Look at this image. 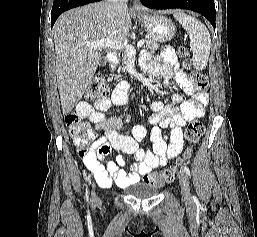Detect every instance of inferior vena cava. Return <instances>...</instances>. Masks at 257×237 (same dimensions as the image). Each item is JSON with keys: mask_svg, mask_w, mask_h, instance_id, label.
<instances>
[{"mask_svg": "<svg viewBox=\"0 0 257 237\" xmlns=\"http://www.w3.org/2000/svg\"><path fill=\"white\" fill-rule=\"evenodd\" d=\"M127 1L128 0H108V3L113 5L115 9L123 10L127 9Z\"/></svg>", "mask_w": 257, "mask_h": 237, "instance_id": "inferior-vena-cava-1", "label": "inferior vena cava"}]
</instances>
